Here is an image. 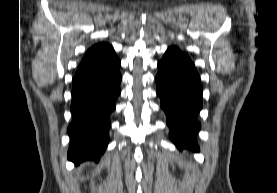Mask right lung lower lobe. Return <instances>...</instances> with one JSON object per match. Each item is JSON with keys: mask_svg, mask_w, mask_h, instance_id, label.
I'll use <instances>...</instances> for the list:
<instances>
[{"mask_svg": "<svg viewBox=\"0 0 277 193\" xmlns=\"http://www.w3.org/2000/svg\"><path fill=\"white\" fill-rule=\"evenodd\" d=\"M120 61L111 48L79 65L73 77L72 122L68 159L74 163L98 160L109 141L110 113L120 94Z\"/></svg>", "mask_w": 277, "mask_h": 193, "instance_id": "98d812e1", "label": "right lung lower lobe"}]
</instances>
